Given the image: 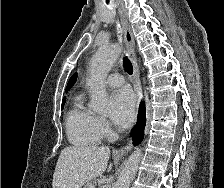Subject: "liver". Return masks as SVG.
<instances>
[{
	"label": "liver",
	"instance_id": "1",
	"mask_svg": "<svg viewBox=\"0 0 224 188\" xmlns=\"http://www.w3.org/2000/svg\"><path fill=\"white\" fill-rule=\"evenodd\" d=\"M110 157L108 147H65L53 174V188H81L106 169ZM112 165L110 164L108 171Z\"/></svg>",
	"mask_w": 224,
	"mask_h": 188
}]
</instances>
